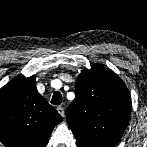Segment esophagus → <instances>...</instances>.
<instances>
[{"label":"esophagus","instance_id":"1","mask_svg":"<svg viewBox=\"0 0 147 147\" xmlns=\"http://www.w3.org/2000/svg\"><path fill=\"white\" fill-rule=\"evenodd\" d=\"M56 109L62 117L65 116L64 108L62 106H58Z\"/></svg>","mask_w":147,"mask_h":147}]
</instances>
